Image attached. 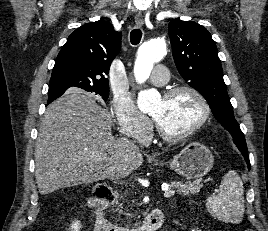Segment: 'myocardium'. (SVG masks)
Instances as JSON below:
<instances>
[{"label":"myocardium","mask_w":268,"mask_h":231,"mask_svg":"<svg viewBox=\"0 0 268 231\" xmlns=\"http://www.w3.org/2000/svg\"><path fill=\"white\" fill-rule=\"evenodd\" d=\"M182 93H188L198 101L201 106V116L199 120L190 129L182 133L168 132L156 118H153L157 133L161 136V138L169 142L182 141L190 138L206 124L210 116V106L207 99L200 91L191 86L180 85L173 87L167 90L162 98L165 100H169Z\"/></svg>","instance_id":"myocardium-1"}]
</instances>
